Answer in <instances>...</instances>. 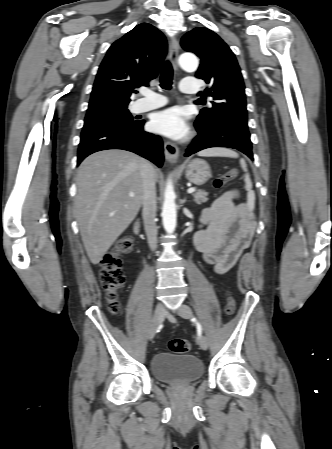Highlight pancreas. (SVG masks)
<instances>
[{
    "label": "pancreas",
    "mask_w": 332,
    "mask_h": 449,
    "mask_svg": "<svg viewBox=\"0 0 332 449\" xmlns=\"http://www.w3.org/2000/svg\"><path fill=\"white\" fill-rule=\"evenodd\" d=\"M208 193L203 190H198L193 194L194 202L198 205H201L202 203H205L208 201Z\"/></svg>",
    "instance_id": "1"
}]
</instances>
